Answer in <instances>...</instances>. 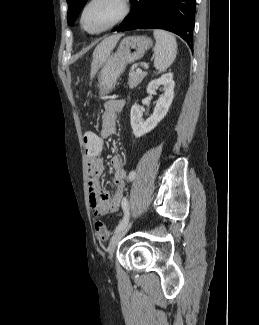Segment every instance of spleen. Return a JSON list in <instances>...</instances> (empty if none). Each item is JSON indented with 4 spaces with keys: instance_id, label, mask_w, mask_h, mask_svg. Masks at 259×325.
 <instances>
[{
    "instance_id": "1",
    "label": "spleen",
    "mask_w": 259,
    "mask_h": 325,
    "mask_svg": "<svg viewBox=\"0 0 259 325\" xmlns=\"http://www.w3.org/2000/svg\"><path fill=\"white\" fill-rule=\"evenodd\" d=\"M153 35L156 40L154 66L159 71H165L176 58L177 42L172 34L161 29H155Z\"/></svg>"
}]
</instances>
